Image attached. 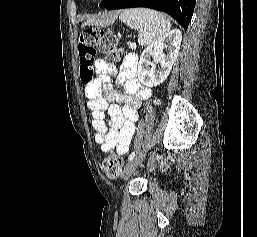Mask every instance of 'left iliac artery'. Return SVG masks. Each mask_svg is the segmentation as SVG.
I'll list each match as a JSON object with an SVG mask.
<instances>
[{"label":"left iliac artery","instance_id":"obj_1","mask_svg":"<svg viewBox=\"0 0 257 237\" xmlns=\"http://www.w3.org/2000/svg\"><path fill=\"white\" fill-rule=\"evenodd\" d=\"M135 157V152H132L129 157H128V161H131L133 158Z\"/></svg>","mask_w":257,"mask_h":237}]
</instances>
